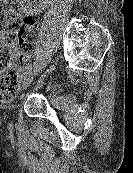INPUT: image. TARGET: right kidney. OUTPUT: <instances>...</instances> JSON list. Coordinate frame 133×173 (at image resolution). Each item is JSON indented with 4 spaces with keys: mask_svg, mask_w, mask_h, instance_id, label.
<instances>
[{
    "mask_svg": "<svg viewBox=\"0 0 133 173\" xmlns=\"http://www.w3.org/2000/svg\"><path fill=\"white\" fill-rule=\"evenodd\" d=\"M20 9L26 12H37L38 8L37 5H32L30 0H18ZM41 3H46L47 0H39Z\"/></svg>",
    "mask_w": 133,
    "mask_h": 173,
    "instance_id": "1",
    "label": "right kidney"
}]
</instances>
